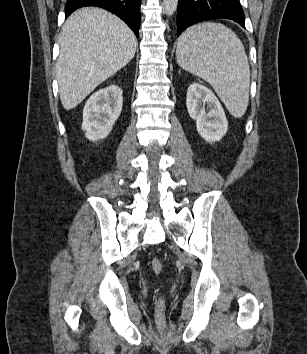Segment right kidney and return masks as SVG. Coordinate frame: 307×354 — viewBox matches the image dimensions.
<instances>
[{"label": "right kidney", "instance_id": "obj_1", "mask_svg": "<svg viewBox=\"0 0 307 354\" xmlns=\"http://www.w3.org/2000/svg\"><path fill=\"white\" fill-rule=\"evenodd\" d=\"M122 89L110 85L100 89L87 100L83 109L82 130L90 141L106 138L120 116L123 97Z\"/></svg>", "mask_w": 307, "mask_h": 354}]
</instances>
